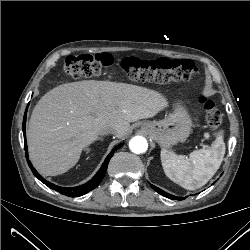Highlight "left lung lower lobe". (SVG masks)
I'll list each match as a JSON object with an SVG mask.
<instances>
[{
    "mask_svg": "<svg viewBox=\"0 0 250 250\" xmlns=\"http://www.w3.org/2000/svg\"><path fill=\"white\" fill-rule=\"evenodd\" d=\"M151 187H152L156 192H158L159 194H161V195H163V196H165V197H167V198L176 199V200L185 199V197H176V196H174V195L168 194V193L164 192L163 190L157 188V187L154 186V185H151Z\"/></svg>",
    "mask_w": 250,
    "mask_h": 250,
    "instance_id": "1",
    "label": "left lung lower lobe"
}]
</instances>
